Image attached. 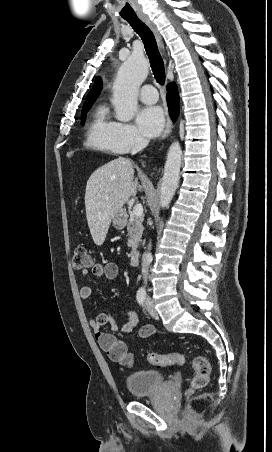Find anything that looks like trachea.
<instances>
[{"instance_id":"obj_1","label":"trachea","mask_w":272,"mask_h":452,"mask_svg":"<svg viewBox=\"0 0 272 452\" xmlns=\"http://www.w3.org/2000/svg\"><path fill=\"white\" fill-rule=\"evenodd\" d=\"M134 31L141 37L148 58L150 60L153 75L156 81L163 85L165 83L164 62L158 50L157 42L152 31L135 15L124 17Z\"/></svg>"}]
</instances>
